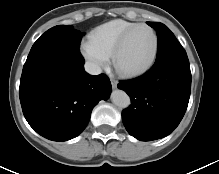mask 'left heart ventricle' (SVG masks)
<instances>
[{"label":"left heart ventricle","mask_w":219,"mask_h":174,"mask_svg":"<svg viewBox=\"0 0 219 174\" xmlns=\"http://www.w3.org/2000/svg\"><path fill=\"white\" fill-rule=\"evenodd\" d=\"M154 50V37L147 28L136 30L119 56L118 65L123 70H136L145 66Z\"/></svg>","instance_id":"left-heart-ventricle-1"}]
</instances>
